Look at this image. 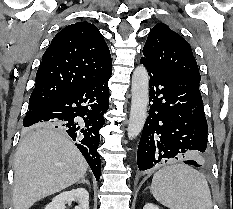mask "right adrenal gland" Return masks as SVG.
<instances>
[{
    "instance_id": "1",
    "label": "right adrenal gland",
    "mask_w": 233,
    "mask_h": 209,
    "mask_svg": "<svg viewBox=\"0 0 233 209\" xmlns=\"http://www.w3.org/2000/svg\"><path fill=\"white\" fill-rule=\"evenodd\" d=\"M80 183H86L88 186H90V183L88 180H86V175L83 176V178L78 182V184Z\"/></svg>"
}]
</instances>
